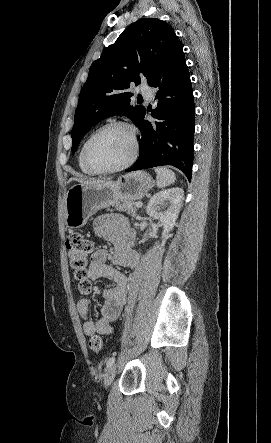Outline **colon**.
<instances>
[{"instance_id": "colon-1", "label": "colon", "mask_w": 271, "mask_h": 443, "mask_svg": "<svg viewBox=\"0 0 271 443\" xmlns=\"http://www.w3.org/2000/svg\"><path fill=\"white\" fill-rule=\"evenodd\" d=\"M66 247L79 290L82 293H88L91 289V282L89 280L87 264L93 251V243L81 234H72L66 241ZM89 346L95 353H102L104 349L102 338L99 335H92L90 337Z\"/></svg>"}]
</instances>
